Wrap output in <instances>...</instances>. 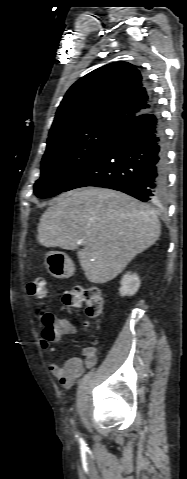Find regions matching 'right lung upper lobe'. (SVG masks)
Returning a JSON list of instances; mask_svg holds the SVG:
<instances>
[{
	"mask_svg": "<svg viewBox=\"0 0 187 479\" xmlns=\"http://www.w3.org/2000/svg\"><path fill=\"white\" fill-rule=\"evenodd\" d=\"M153 104V97L135 66L122 61L107 64L79 79L67 91L48 141L67 131L92 125L123 129Z\"/></svg>",
	"mask_w": 187,
	"mask_h": 479,
	"instance_id": "1",
	"label": "right lung upper lobe"
}]
</instances>
